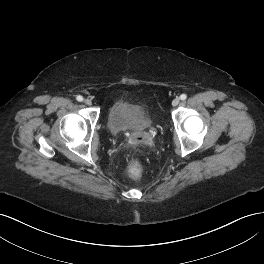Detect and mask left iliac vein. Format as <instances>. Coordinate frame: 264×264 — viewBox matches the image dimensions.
<instances>
[{
	"instance_id": "obj_1",
	"label": "left iliac vein",
	"mask_w": 264,
	"mask_h": 264,
	"mask_svg": "<svg viewBox=\"0 0 264 264\" xmlns=\"http://www.w3.org/2000/svg\"><path fill=\"white\" fill-rule=\"evenodd\" d=\"M180 102V99L179 98H175L173 101H172V105L173 106H177Z\"/></svg>"
}]
</instances>
